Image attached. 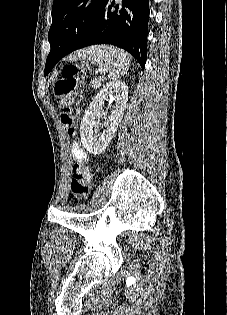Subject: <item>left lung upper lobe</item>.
Segmentation results:
<instances>
[{"mask_svg":"<svg viewBox=\"0 0 227 315\" xmlns=\"http://www.w3.org/2000/svg\"><path fill=\"white\" fill-rule=\"evenodd\" d=\"M104 1L54 0L48 40L57 38L64 48L72 46L95 19Z\"/></svg>","mask_w":227,"mask_h":315,"instance_id":"5c2ea615","label":"left lung upper lobe"}]
</instances>
